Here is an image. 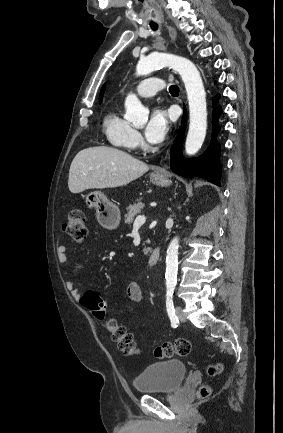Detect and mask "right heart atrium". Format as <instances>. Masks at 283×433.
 Listing matches in <instances>:
<instances>
[{"mask_svg": "<svg viewBox=\"0 0 283 433\" xmlns=\"http://www.w3.org/2000/svg\"><path fill=\"white\" fill-rule=\"evenodd\" d=\"M142 139L141 135L137 130H133L132 134L128 138L127 144L128 145H141Z\"/></svg>", "mask_w": 283, "mask_h": 433, "instance_id": "1", "label": "right heart atrium"}]
</instances>
